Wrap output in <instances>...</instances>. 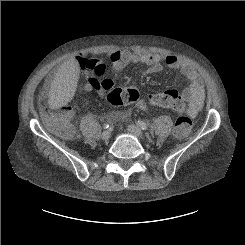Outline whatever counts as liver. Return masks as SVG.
Returning <instances> with one entry per match:
<instances>
[{"instance_id": "liver-1", "label": "liver", "mask_w": 245, "mask_h": 245, "mask_svg": "<svg viewBox=\"0 0 245 245\" xmlns=\"http://www.w3.org/2000/svg\"><path fill=\"white\" fill-rule=\"evenodd\" d=\"M79 77V64L75 58L64 62L58 69L49 90L48 104L56 110L73 98Z\"/></svg>"}]
</instances>
